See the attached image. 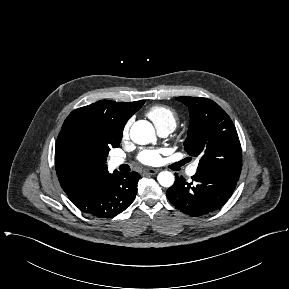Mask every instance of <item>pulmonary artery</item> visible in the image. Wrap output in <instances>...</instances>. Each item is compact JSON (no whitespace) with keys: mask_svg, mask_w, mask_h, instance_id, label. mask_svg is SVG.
<instances>
[{"mask_svg":"<svg viewBox=\"0 0 289 289\" xmlns=\"http://www.w3.org/2000/svg\"><path fill=\"white\" fill-rule=\"evenodd\" d=\"M170 132H171V131H169V130H161V131H159V134H160L161 136L165 137V136H167ZM124 162H125V160H124L123 158H120V157H113V158L110 159V164H111V166H113V167H117V166L123 164ZM196 171H197V164L194 163V164H192V165H190V166L188 167V169H187V174H188L189 176H193V175H195Z\"/></svg>","mask_w":289,"mask_h":289,"instance_id":"1","label":"pulmonary artery"}]
</instances>
